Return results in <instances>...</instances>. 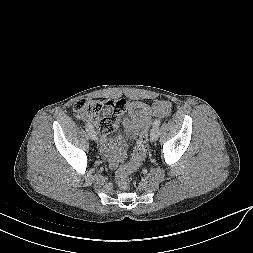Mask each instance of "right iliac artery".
I'll return each mask as SVG.
<instances>
[{
    "label": "right iliac artery",
    "mask_w": 253,
    "mask_h": 253,
    "mask_svg": "<svg viewBox=\"0 0 253 253\" xmlns=\"http://www.w3.org/2000/svg\"><path fill=\"white\" fill-rule=\"evenodd\" d=\"M86 127H87V129H89V130H92V129L94 128L93 125L90 124V123H87V124H86Z\"/></svg>",
    "instance_id": "right-iliac-artery-1"
}]
</instances>
